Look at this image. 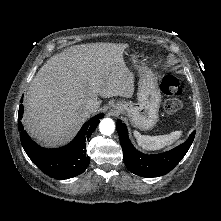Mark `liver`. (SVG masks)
I'll use <instances>...</instances> for the list:
<instances>
[{
	"mask_svg": "<svg viewBox=\"0 0 221 221\" xmlns=\"http://www.w3.org/2000/svg\"><path fill=\"white\" fill-rule=\"evenodd\" d=\"M127 44L92 43L72 46L51 57L32 80L22 123L47 146L73 137L90 116V101L134 93V75L126 66Z\"/></svg>",
	"mask_w": 221,
	"mask_h": 221,
	"instance_id": "liver-1",
	"label": "liver"
}]
</instances>
